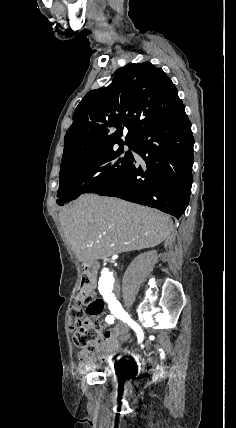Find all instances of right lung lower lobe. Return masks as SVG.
Returning <instances> with one entry per match:
<instances>
[{
    "instance_id": "1",
    "label": "right lung lower lobe",
    "mask_w": 236,
    "mask_h": 428,
    "mask_svg": "<svg viewBox=\"0 0 236 428\" xmlns=\"http://www.w3.org/2000/svg\"><path fill=\"white\" fill-rule=\"evenodd\" d=\"M133 143V151L146 165L133 164V158L130 166L95 193L150 206L178 219L188 206L192 185L194 139L184 105L144 128Z\"/></svg>"
}]
</instances>
